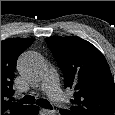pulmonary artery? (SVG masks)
Masks as SVG:
<instances>
[{
	"instance_id": "e3ab8cb5",
	"label": "pulmonary artery",
	"mask_w": 115,
	"mask_h": 115,
	"mask_svg": "<svg viewBox=\"0 0 115 115\" xmlns=\"http://www.w3.org/2000/svg\"><path fill=\"white\" fill-rule=\"evenodd\" d=\"M41 90L45 91L48 96L58 104H65L67 99L59 88L58 78L55 70L49 69L44 72L42 77Z\"/></svg>"
}]
</instances>
